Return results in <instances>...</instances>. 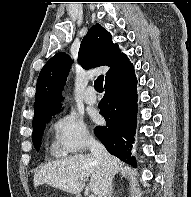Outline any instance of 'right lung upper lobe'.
Here are the masks:
<instances>
[{"mask_svg": "<svg viewBox=\"0 0 191 197\" xmlns=\"http://www.w3.org/2000/svg\"><path fill=\"white\" fill-rule=\"evenodd\" d=\"M78 62L85 69L109 66L105 82L133 67L118 45L112 42L111 34L99 24L92 26L84 36L78 52ZM71 63V58L61 52L50 58L42 68L36 87L33 127L60 110L61 90Z\"/></svg>", "mask_w": 191, "mask_h": 197, "instance_id": "1", "label": "right lung upper lobe"}]
</instances>
